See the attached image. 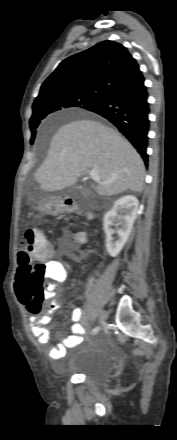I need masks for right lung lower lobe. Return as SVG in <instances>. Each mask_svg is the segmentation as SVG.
I'll list each match as a JSON object with an SVG mask.
<instances>
[{"label":"right lung lower lobe","instance_id":"obj_1","mask_svg":"<svg viewBox=\"0 0 177 440\" xmlns=\"http://www.w3.org/2000/svg\"><path fill=\"white\" fill-rule=\"evenodd\" d=\"M144 77H134L106 93L101 100L87 108L112 122L137 149L145 165L148 162L149 104Z\"/></svg>","mask_w":177,"mask_h":440}]
</instances>
